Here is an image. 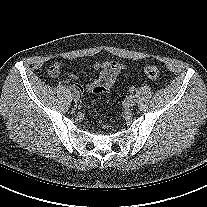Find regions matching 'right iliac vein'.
I'll return each instance as SVG.
<instances>
[{"label":"right iliac vein","mask_w":207,"mask_h":207,"mask_svg":"<svg viewBox=\"0 0 207 207\" xmlns=\"http://www.w3.org/2000/svg\"><path fill=\"white\" fill-rule=\"evenodd\" d=\"M72 97L75 102H78L80 100V95L77 91L73 92Z\"/></svg>","instance_id":"63e3f726"}]
</instances>
